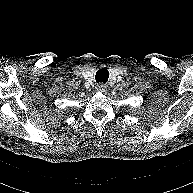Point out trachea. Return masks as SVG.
I'll use <instances>...</instances> for the list:
<instances>
[{"label": "trachea", "mask_w": 193, "mask_h": 193, "mask_svg": "<svg viewBox=\"0 0 193 193\" xmlns=\"http://www.w3.org/2000/svg\"><path fill=\"white\" fill-rule=\"evenodd\" d=\"M108 78H109L108 70L103 68V69H99L96 72V75H95L96 82L106 83L108 81Z\"/></svg>", "instance_id": "obj_1"}]
</instances>
